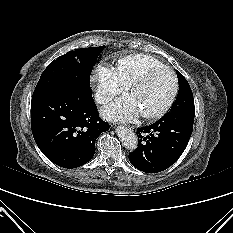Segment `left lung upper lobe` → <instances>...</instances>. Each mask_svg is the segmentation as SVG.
<instances>
[{
	"instance_id": "5c2ea615",
	"label": "left lung upper lobe",
	"mask_w": 233,
	"mask_h": 233,
	"mask_svg": "<svg viewBox=\"0 0 233 233\" xmlns=\"http://www.w3.org/2000/svg\"><path fill=\"white\" fill-rule=\"evenodd\" d=\"M179 91L174 105L165 115L189 122H194V98L185 77L177 71Z\"/></svg>"
}]
</instances>
